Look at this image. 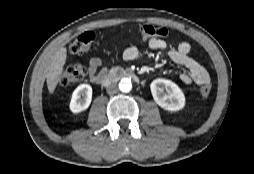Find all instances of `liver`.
Segmentation results:
<instances>
[{"instance_id": "6515ba94", "label": "liver", "mask_w": 254, "mask_h": 174, "mask_svg": "<svg viewBox=\"0 0 254 174\" xmlns=\"http://www.w3.org/2000/svg\"><path fill=\"white\" fill-rule=\"evenodd\" d=\"M66 59L67 50L65 47H62L55 53L51 65L49 66L46 81L48 90L51 94L54 92L60 81Z\"/></svg>"}]
</instances>
